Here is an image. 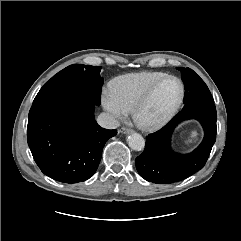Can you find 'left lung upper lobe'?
Here are the masks:
<instances>
[{
	"mask_svg": "<svg viewBox=\"0 0 241 241\" xmlns=\"http://www.w3.org/2000/svg\"><path fill=\"white\" fill-rule=\"evenodd\" d=\"M185 87L184 108L200 103H214L204 81L190 68H179Z\"/></svg>",
	"mask_w": 241,
	"mask_h": 241,
	"instance_id": "obj_1",
	"label": "left lung upper lobe"
}]
</instances>
